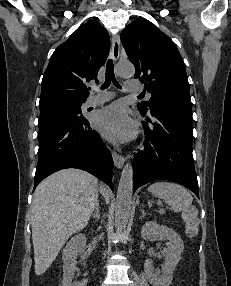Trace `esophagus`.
Listing matches in <instances>:
<instances>
[{
	"label": "esophagus",
	"mask_w": 231,
	"mask_h": 286,
	"mask_svg": "<svg viewBox=\"0 0 231 286\" xmlns=\"http://www.w3.org/2000/svg\"><path fill=\"white\" fill-rule=\"evenodd\" d=\"M119 53H120V39L119 35L115 34L112 36V45H111V56L114 61L118 60ZM112 157L115 166L119 169L122 168L125 161L124 157L121 154L117 153L116 151L112 152Z\"/></svg>",
	"instance_id": "34e87169"
}]
</instances>
